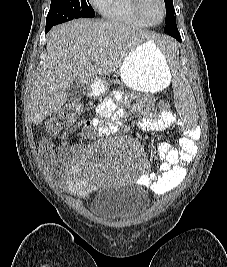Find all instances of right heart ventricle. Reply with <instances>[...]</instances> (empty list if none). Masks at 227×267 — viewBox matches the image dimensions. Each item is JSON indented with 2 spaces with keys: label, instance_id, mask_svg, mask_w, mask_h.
Instances as JSON below:
<instances>
[{
  "label": "right heart ventricle",
  "instance_id": "1",
  "mask_svg": "<svg viewBox=\"0 0 227 267\" xmlns=\"http://www.w3.org/2000/svg\"><path fill=\"white\" fill-rule=\"evenodd\" d=\"M97 9L103 17L113 22L136 26L147 25L136 14L133 0H101Z\"/></svg>",
  "mask_w": 227,
  "mask_h": 267
}]
</instances>
